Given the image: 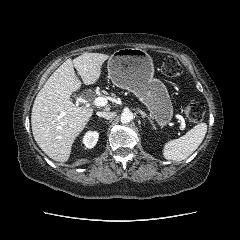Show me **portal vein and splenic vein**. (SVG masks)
<instances>
[{
    "mask_svg": "<svg viewBox=\"0 0 240 240\" xmlns=\"http://www.w3.org/2000/svg\"><path fill=\"white\" fill-rule=\"evenodd\" d=\"M93 104H94L95 106H99V107H100V106H105V105L107 104V99L104 98V97H97V98L94 99ZM176 118H177V119L179 120V122H180V129H181V130H185L186 126H185V122H184L183 117H182L181 115L177 114V115H176Z\"/></svg>",
    "mask_w": 240,
    "mask_h": 240,
    "instance_id": "portal-vein-and-splenic-vein-1",
    "label": "portal vein and splenic vein"
}]
</instances>
